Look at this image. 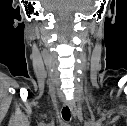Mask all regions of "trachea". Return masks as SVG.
<instances>
[{
  "label": "trachea",
  "mask_w": 127,
  "mask_h": 126,
  "mask_svg": "<svg viewBox=\"0 0 127 126\" xmlns=\"http://www.w3.org/2000/svg\"><path fill=\"white\" fill-rule=\"evenodd\" d=\"M62 117L65 121H69L71 114H70V109L68 107H64L62 110Z\"/></svg>",
  "instance_id": "trachea-1"
}]
</instances>
